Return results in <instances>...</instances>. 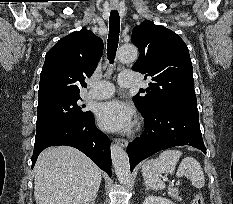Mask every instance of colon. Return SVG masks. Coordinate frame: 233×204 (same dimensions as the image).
Returning a JSON list of instances; mask_svg holds the SVG:
<instances>
[{
	"mask_svg": "<svg viewBox=\"0 0 233 204\" xmlns=\"http://www.w3.org/2000/svg\"><path fill=\"white\" fill-rule=\"evenodd\" d=\"M192 204H204V199H203L202 194L197 193V194L194 196V199H193V203H192Z\"/></svg>",
	"mask_w": 233,
	"mask_h": 204,
	"instance_id": "5ec220e1",
	"label": "colon"
}]
</instances>
